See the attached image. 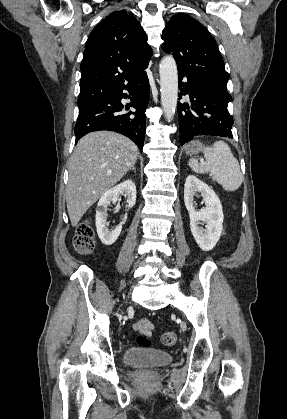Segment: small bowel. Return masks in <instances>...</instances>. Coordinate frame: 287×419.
<instances>
[{"mask_svg":"<svg viewBox=\"0 0 287 419\" xmlns=\"http://www.w3.org/2000/svg\"><path fill=\"white\" fill-rule=\"evenodd\" d=\"M152 328H153L152 324L146 319L138 320L134 324V329L144 335H150Z\"/></svg>","mask_w":287,"mask_h":419,"instance_id":"small-bowel-1","label":"small bowel"}]
</instances>
